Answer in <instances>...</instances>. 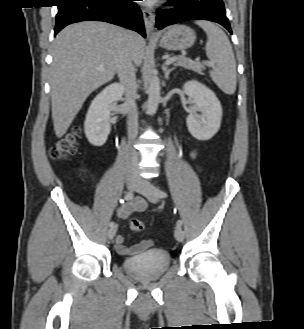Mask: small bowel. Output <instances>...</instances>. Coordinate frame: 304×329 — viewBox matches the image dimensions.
<instances>
[{
  "mask_svg": "<svg viewBox=\"0 0 304 329\" xmlns=\"http://www.w3.org/2000/svg\"><path fill=\"white\" fill-rule=\"evenodd\" d=\"M198 149H194L191 153L193 158L197 157ZM148 207V203L141 197H136L132 201L120 205L117 209V214L121 218H128L130 215L136 212H143ZM151 240H143L134 245H125L124 237L117 235L115 238V249L121 255H134L143 252L152 246Z\"/></svg>",
  "mask_w": 304,
  "mask_h": 329,
  "instance_id": "obj_1",
  "label": "small bowel"
}]
</instances>
